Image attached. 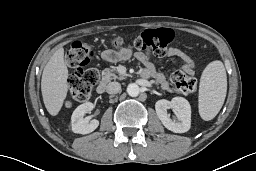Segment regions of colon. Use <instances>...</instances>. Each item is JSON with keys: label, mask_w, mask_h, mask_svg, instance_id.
Here are the masks:
<instances>
[{"label": "colon", "mask_w": 256, "mask_h": 171, "mask_svg": "<svg viewBox=\"0 0 256 171\" xmlns=\"http://www.w3.org/2000/svg\"><path fill=\"white\" fill-rule=\"evenodd\" d=\"M172 39L173 33L168 28H147L137 33L130 43L136 51L145 55L163 56ZM112 43L118 46L122 43V38L114 37ZM94 56L95 51L88 42L72 43L66 56L68 65L73 69L69 78V106L85 102L96 85L98 69L95 65L89 66ZM170 79L175 89L181 93L190 94L197 89V79L182 69L174 70Z\"/></svg>", "instance_id": "colon-1"}]
</instances>
